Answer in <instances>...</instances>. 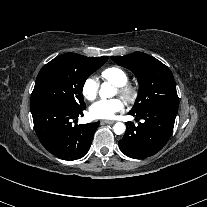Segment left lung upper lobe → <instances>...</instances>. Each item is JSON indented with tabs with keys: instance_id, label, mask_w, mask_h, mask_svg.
Segmentation results:
<instances>
[{
	"instance_id": "left-lung-upper-lobe-1",
	"label": "left lung upper lobe",
	"mask_w": 207,
	"mask_h": 207,
	"mask_svg": "<svg viewBox=\"0 0 207 207\" xmlns=\"http://www.w3.org/2000/svg\"><path fill=\"white\" fill-rule=\"evenodd\" d=\"M111 58L117 64L131 70L139 82L138 97L129 113L140 114L161 105L178 107L174 77L162 62L142 52Z\"/></svg>"
}]
</instances>
